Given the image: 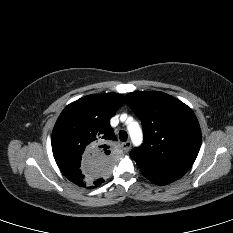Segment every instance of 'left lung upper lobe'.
<instances>
[{
    "label": "left lung upper lobe",
    "mask_w": 233,
    "mask_h": 233,
    "mask_svg": "<svg viewBox=\"0 0 233 233\" xmlns=\"http://www.w3.org/2000/svg\"><path fill=\"white\" fill-rule=\"evenodd\" d=\"M143 126L144 143L130 156L139 164L189 170L201 145V130L192 109L163 92L127 94Z\"/></svg>",
    "instance_id": "1"
}]
</instances>
